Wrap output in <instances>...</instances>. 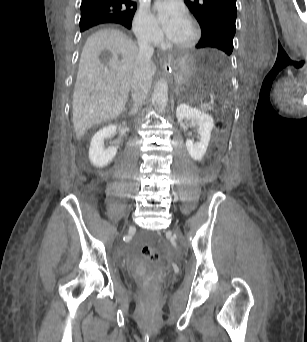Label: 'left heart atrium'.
Returning a JSON list of instances; mask_svg holds the SVG:
<instances>
[{
  "label": "left heart atrium",
  "instance_id": "39dd6f15",
  "mask_svg": "<svg viewBox=\"0 0 307 342\" xmlns=\"http://www.w3.org/2000/svg\"><path fill=\"white\" fill-rule=\"evenodd\" d=\"M149 17L157 42L175 44L189 31L188 19L170 3L156 5Z\"/></svg>",
  "mask_w": 307,
  "mask_h": 342
}]
</instances>
